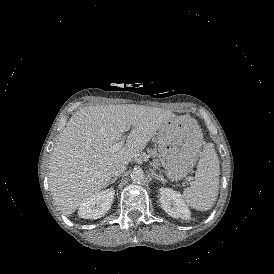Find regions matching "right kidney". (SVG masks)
<instances>
[{
  "mask_svg": "<svg viewBox=\"0 0 274 274\" xmlns=\"http://www.w3.org/2000/svg\"><path fill=\"white\" fill-rule=\"evenodd\" d=\"M115 192L106 190L98 194H93L85 201L81 202L78 214L84 219H98L103 217L111 208Z\"/></svg>",
  "mask_w": 274,
  "mask_h": 274,
  "instance_id": "ca27d5eb",
  "label": "right kidney"
}]
</instances>
